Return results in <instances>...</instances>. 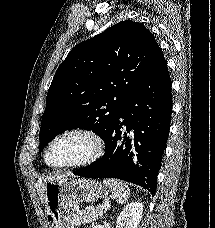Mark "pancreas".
Instances as JSON below:
<instances>
[{"label": "pancreas", "mask_w": 215, "mask_h": 228, "mask_svg": "<svg viewBox=\"0 0 215 228\" xmlns=\"http://www.w3.org/2000/svg\"><path fill=\"white\" fill-rule=\"evenodd\" d=\"M103 214H106V210H102V208H90V210H72L71 224H73V226L91 224V222H95V220H100Z\"/></svg>", "instance_id": "obj_1"}]
</instances>
